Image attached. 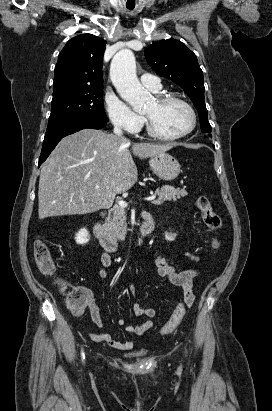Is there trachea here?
<instances>
[{
    "mask_svg": "<svg viewBox=\"0 0 272 411\" xmlns=\"http://www.w3.org/2000/svg\"><path fill=\"white\" fill-rule=\"evenodd\" d=\"M127 8H128L129 10H133V9H134V6H127Z\"/></svg>",
    "mask_w": 272,
    "mask_h": 411,
    "instance_id": "obj_1",
    "label": "trachea"
}]
</instances>
